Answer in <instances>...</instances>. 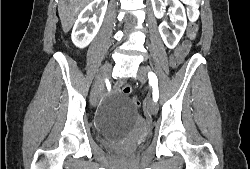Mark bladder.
<instances>
[{"mask_svg": "<svg viewBox=\"0 0 250 169\" xmlns=\"http://www.w3.org/2000/svg\"><path fill=\"white\" fill-rule=\"evenodd\" d=\"M107 134H99L96 133V141L97 143L105 148H108L110 150H123V149H127V148H133V147H137L138 145H110L109 142H103V136L106 137ZM116 140V139H113Z\"/></svg>", "mask_w": 250, "mask_h": 169, "instance_id": "bladder-1", "label": "bladder"}]
</instances>
